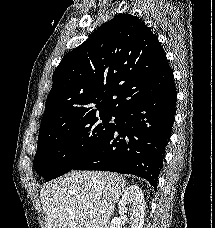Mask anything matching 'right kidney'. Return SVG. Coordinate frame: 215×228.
<instances>
[{
	"label": "right kidney",
	"instance_id": "right-kidney-1",
	"mask_svg": "<svg viewBox=\"0 0 215 228\" xmlns=\"http://www.w3.org/2000/svg\"><path fill=\"white\" fill-rule=\"evenodd\" d=\"M145 200L141 188L129 186L121 196L118 204V218L112 220L109 228H122L128 222L126 212H130L131 228H143L145 220Z\"/></svg>",
	"mask_w": 215,
	"mask_h": 228
}]
</instances>
